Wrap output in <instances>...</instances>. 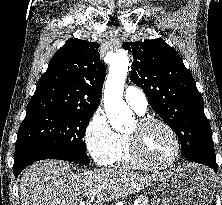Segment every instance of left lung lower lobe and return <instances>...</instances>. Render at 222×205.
I'll use <instances>...</instances> for the list:
<instances>
[{
  "label": "left lung lower lobe",
  "instance_id": "1",
  "mask_svg": "<svg viewBox=\"0 0 222 205\" xmlns=\"http://www.w3.org/2000/svg\"><path fill=\"white\" fill-rule=\"evenodd\" d=\"M184 157L190 162L199 163L208 166L212 168L215 172H217L216 160H212L210 158H202L194 155H185Z\"/></svg>",
  "mask_w": 222,
  "mask_h": 205
}]
</instances>
